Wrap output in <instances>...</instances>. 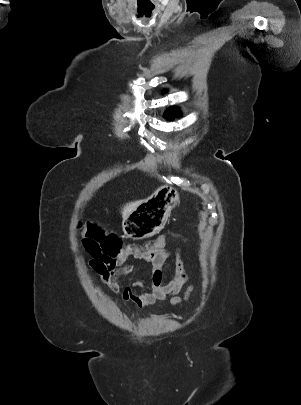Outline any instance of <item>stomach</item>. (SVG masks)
Masks as SVG:
<instances>
[{"label": "stomach", "mask_w": 301, "mask_h": 405, "mask_svg": "<svg viewBox=\"0 0 301 405\" xmlns=\"http://www.w3.org/2000/svg\"><path fill=\"white\" fill-rule=\"evenodd\" d=\"M178 203V192L170 186H161L124 219V234L132 239L155 235Z\"/></svg>", "instance_id": "stomach-1"}]
</instances>
